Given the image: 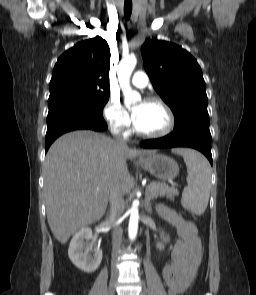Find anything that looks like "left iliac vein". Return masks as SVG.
<instances>
[{"mask_svg": "<svg viewBox=\"0 0 256 295\" xmlns=\"http://www.w3.org/2000/svg\"><path fill=\"white\" fill-rule=\"evenodd\" d=\"M140 295H146V293H145L144 291H142V292L140 293Z\"/></svg>", "mask_w": 256, "mask_h": 295, "instance_id": "1", "label": "left iliac vein"}]
</instances>
